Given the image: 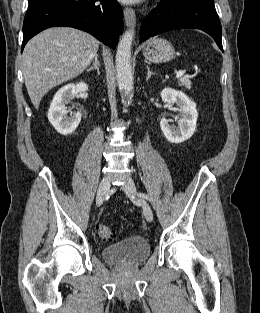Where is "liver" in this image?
<instances>
[{
    "instance_id": "obj_1",
    "label": "liver",
    "mask_w": 260,
    "mask_h": 313,
    "mask_svg": "<svg viewBox=\"0 0 260 313\" xmlns=\"http://www.w3.org/2000/svg\"><path fill=\"white\" fill-rule=\"evenodd\" d=\"M99 41L71 27L46 29L33 37L23 51L25 85L36 109L53 87L80 75L95 57Z\"/></svg>"
}]
</instances>
